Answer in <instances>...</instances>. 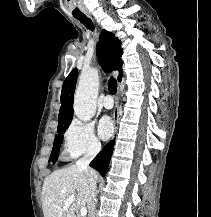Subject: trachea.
Segmentation results:
<instances>
[{
    "instance_id": "trachea-1",
    "label": "trachea",
    "mask_w": 211,
    "mask_h": 217,
    "mask_svg": "<svg viewBox=\"0 0 211 217\" xmlns=\"http://www.w3.org/2000/svg\"><path fill=\"white\" fill-rule=\"evenodd\" d=\"M84 26H86L88 29L94 30L92 21L85 17H80L77 18ZM108 90L110 91L111 94H115L117 91V81L114 78L109 79L108 83Z\"/></svg>"
}]
</instances>
